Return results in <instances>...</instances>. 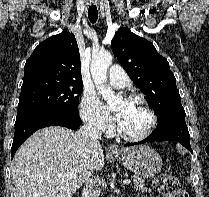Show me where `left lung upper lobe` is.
<instances>
[{"mask_svg": "<svg viewBox=\"0 0 209 197\" xmlns=\"http://www.w3.org/2000/svg\"><path fill=\"white\" fill-rule=\"evenodd\" d=\"M111 45L127 74L148 97L147 103L156 113L158 121L171 114L185 113L169 63L151 42L128 28H120Z\"/></svg>", "mask_w": 209, "mask_h": 197, "instance_id": "5c2ea615", "label": "left lung upper lobe"}]
</instances>
